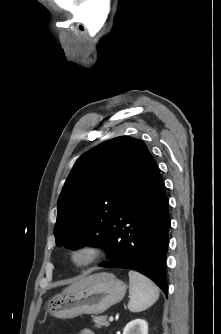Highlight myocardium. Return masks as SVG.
<instances>
[{
    "instance_id": "obj_1",
    "label": "myocardium",
    "mask_w": 221,
    "mask_h": 334,
    "mask_svg": "<svg viewBox=\"0 0 221 334\" xmlns=\"http://www.w3.org/2000/svg\"><path fill=\"white\" fill-rule=\"evenodd\" d=\"M102 247L94 242L75 245L69 252V263L76 268H84L95 263L102 255Z\"/></svg>"
}]
</instances>
